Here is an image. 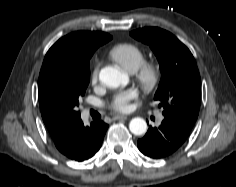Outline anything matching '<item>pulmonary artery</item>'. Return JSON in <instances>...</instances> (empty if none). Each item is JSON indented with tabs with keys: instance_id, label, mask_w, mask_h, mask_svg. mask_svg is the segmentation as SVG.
<instances>
[{
	"instance_id": "e3ab8cb5",
	"label": "pulmonary artery",
	"mask_w": 236,
	"mask_h": 187,
	"mask_svg": "<svg viewBox=\"0 0 236 187\" xmlns=\"http://www.w3.org/2000/svg\"><path fill=\"white\" fill-rule=\"evenodd\" d=\"M162 119H163V117H162V115H160V116L158 117V123H160V122L162 121Z\"/></svg>"
}]
</instances>
